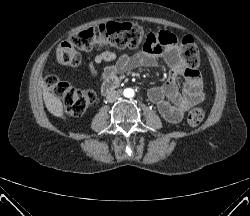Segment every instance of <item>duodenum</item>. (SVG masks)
Masks as SVG:
<instances>
[{
    "label": "duodenum",
    "mask_w": 250,
    "mask_h": 216,
    "mask_svg": "<svg viewBox=\"0 0 250 216\" xmlns=\"http://www.w3.org/2000/svg\"><path fill=\"white\" fill-rule=\"evenodd\" d=\"M119 85V80L116 78L108 79L104 81V83L101 86V92L102 94H107L114 90Z\"/></svg>",
    "instance_id": "obj_1"
}]
</instances>
